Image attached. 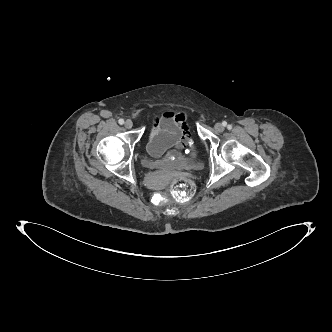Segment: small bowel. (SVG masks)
Listing matches in <instances>:
<instances>
[{"instance_id":"obj_1","label":"small bowel","mask_w":332,"mask_h":332,"mask_svg":"<svg viewBox=\"0 0 332 332\" xmlns=\"http://www.w3.org/2000/svg\"><path fill=\"white\" fill-rule=\"evenodd\" d=\"M184 113L164 112L153 123L147 144L151 157L172 158L176 148L183 149L190 137L185 127Z\"/></svg>"}]
</instances>
